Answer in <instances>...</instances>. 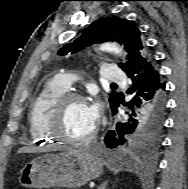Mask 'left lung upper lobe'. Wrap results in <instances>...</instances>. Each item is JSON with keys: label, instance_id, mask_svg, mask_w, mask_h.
I'll return each mask as SVG.
<instances>
[{"label": "left lung upper lobe", "instance_id": "obj_1", "mask_svg": "<svg viewBox=\"0 0 188 189\" xmlns=\"http://www.w3.org/2000/svg\"><path fill=\"white\" fill-rule=\"evenodd\" d=\"M111 40L123 44L128 53V61L126 63H119V67L124 72L144 61L152 60L145 43L141 39L139 29L131 22L118 17L101 18L94 21L80 38L73 43L66 44L59 50L58 54L75 53L93 43H102ZM109 95V102L112 108L118 102L119 96L116 92L110 93ZM161 129L162 124L149 129L137 128L129 136L128 145L136 146L143 144L154 149L159 143Z\"/></svg>", "mask_w": 188, "mask_h": 189}]
</instances>
